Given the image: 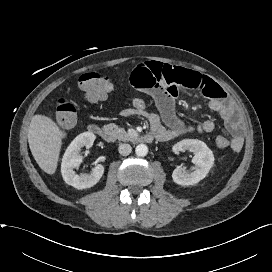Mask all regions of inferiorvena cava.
Returning <instances> with one entry per match:
<instances>
[{
    "label": "inferior vena cava",
    "mask_w": 272,
    "mask_h": 272,
    "mask_svg": "<svg viewBox=\"0 0 272 272\" xmlns=\"http://www.w3.org/2000/svg\"><path fill=\"white\" fill-rule=\"evenodd\" d=\"M118 151L121 155L127 156L131 153L132 147L129 144H120L118 147Z\"/></svg>",
    "instance_id": "602c4592"
}]
</instances>
